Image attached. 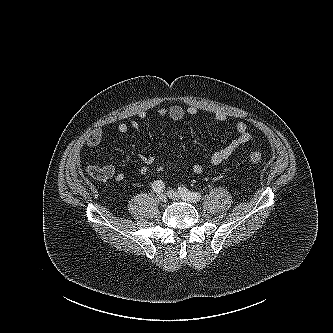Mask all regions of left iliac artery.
<instances>
[{"instance_id": "1", "label": "left iliac artery", "mask_w": 333, "mask_h": 333, "mask_svg": "<svg viewBox=\"0 0 333 333\" xmlns=\"http://www.w3.org/2000/svg\"><path fill=\"white\" fill-rule=\"evenodd\" d=\"M178 189L182 195H184L185 197L194 202L199 201L201 199V194L198 192H191L186 187H179Z\"/></svg>"}]
</instances>
